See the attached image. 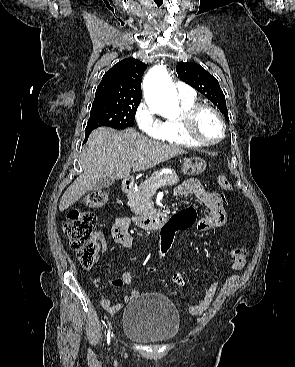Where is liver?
Wrapping results in <instances>:
<instances>
[{"instance_id": "6515ba94", "label": "liver", "mask_w": 295, "mask_h": 367, "mask_svg": "<svg viewBox=\"0 0 295 367\" xmlns=\"http://www.w3.org/2000/svg\"><path fill=\"white\" fill-rule=\"evenodd\" d=\"M184 153L179 146L149 139L132 128L121 132L97 128L82 149V173L64 192L59 210L69 208L103 178L125 179L132 168L134 171L150 169Z\"/></svg>"}]
</instances>
